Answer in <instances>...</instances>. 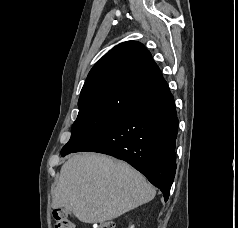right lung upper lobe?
Wrapping results in <instances>:
<instances>
[{
  "instance_id": "cb5924a9",
  "label": "right lung upper lobe",
  "mask_w": 238,
  "mask_h": 228,
  "mask_svg": "<svg viewBox=\"0 0 238 228\" xmlns=\"http://www.w3.org/2000/svg\"><path fill=\"white\" fill-rule=\"evenodd\" d=\"M168 90L150 52L140 42L127 41L93 66L80 93L79 112H126Z\"/></svg>"
}]
</instances>
